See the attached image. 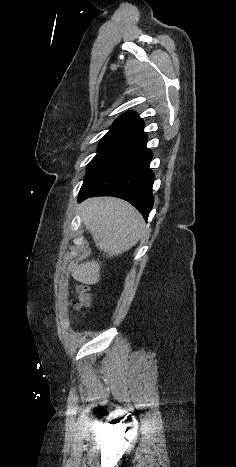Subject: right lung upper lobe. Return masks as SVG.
<instances>
[{
    "label": "right lung upper lobe",
    "instance_id": "cb5924a9",
    "mask_svg": "<svg viewBox=\"0 0 236 467\" xmlns=\"http://www.w3.org/2000/svg\"><path fill=\"white\" fill-rule=\"evenodd\" d=\"M143 127V120L140 119L136 113L127 112L123 114L120 118H118L111 128L133 131L140 135H143Z\"/></svg>",
    "mask_w": 236,
    "mask_h": 467
}]
</instances>
